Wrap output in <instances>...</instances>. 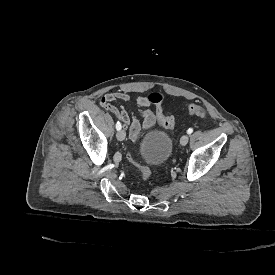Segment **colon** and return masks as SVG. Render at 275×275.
Listing matches in <instances>:
<instances>
[{
	"instance_id": "obj_1",
	"label": "colon",
	"mask_w": 275,
	"mask_h": 275,
	"mask_svg": "<svg viewBox=\"0 0 275 275\" xmlns=\"http://www.w3.org/2000/svg\"><path fill=\"white\" fill-rule=\"evenodd\" d=\"M145 100L150 104H154V109L156 110V116L159 119L160 126L162 128H172L175 125V119L171 116H165L161 109V103L165 101V96L159 92H150L145 95ZM189 113L194 116L206 119L208 117L207 111L196 105H191L189 107ZM129 159H132V155H129ZM140 173V177L143 180H148L150 178V169L143 162L133 161Z\"/></svg>"
}]
</instances>
